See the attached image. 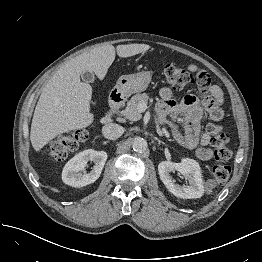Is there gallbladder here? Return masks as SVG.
Wrapping results in <instances>:
<instances>
[{
  "label": "gallbladder",
  "instance_id": "gallbladder-1",
  "mask_svg": "<svg viewBox=\"0 0 262 262\" xmlns=\"http://www.w3.org/2000/svg\"><path fill=\"white\" fill-rule=\"evenodd\" d=\"M81 78L86 83H92L94 81L95 76L93 72L86 71L81 74Z\"/></svg>",
  "mask_w": 262,
  "mask_h": 262
}]
</instances>
